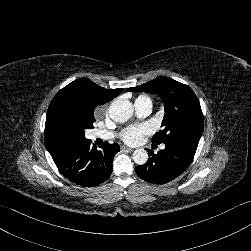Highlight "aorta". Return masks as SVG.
Here are the masks:
<instances>
[{
  "label": "aorta",
  "mask_w": 251,
  "mask_h": 251,
  "mask_svg": "<svg viewBox=\"0 0 251 251\" xmlns=\"http://www.w3.org/2000/svg\"><path fill=\"white\" fill-rule=\"evenodd\" d=\"M133 113V106L131 102L116 99L113 100L108 109L110 119L115 123L127 122ZM133 160L137 165H144L148 160V153L144 149H137L133 152Z\"/></svg>",
  "instance_id": "aorta-1"
}]
</instances>
